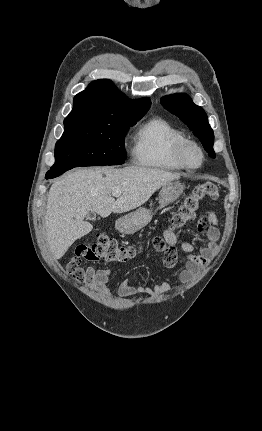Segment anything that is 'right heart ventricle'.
<instances>
[{
	"label": "right heart ventricle",
	"instance_id": "obj_1",
	"mask_svg": "<svg viewBox=\"0 0 262 431\" xmlns=\"http://www.w3.org/2000/svg\"><path fill=\"white\" fill-rule=\"evenodd\" d=\"M184 134L166 120L153 117L142 123L134 137L133 154L136 162L144 167L166 171L183 168L176 161L174 152Z\"/></svg>",
	"mask_w": 262,
	"mask_h": 431
}]
</instances>
